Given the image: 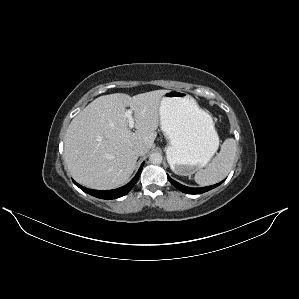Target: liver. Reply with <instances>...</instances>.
I'll list each match as a JSON object with an SVG mask.
<instances>
[{
  "label": "liver",
  "mask_w": 299,
  "mask_h": 299,
  "mask_svg": "<svg viewBox=\"0 0 299 299\" xmlns=\"http://www.w3.org/2000/svg\"><path fill=\"white\" fill-rule=\"evenodd\" d=\"M168 90L103 95L71 121L64 138V161L80 184L99 190L124 185L136 168L137 145L147 152L160 124V102ZM126 107L134 113L136 131L128 126Z\"/></svg>",
  "instance_id": "6515ba94"
}]
</instances>
